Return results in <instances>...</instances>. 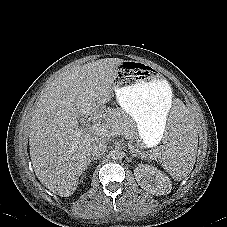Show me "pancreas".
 I'll list each match as a JSON object with an SVG mask.
<instances>
[{
  "label": "pancreas",
  "instance_id": "pancreas-1",
  "mask_svg": "<svg viewBox=\"0 0 227 227\" xmlns=\"http://www.w3.org/2000/svg\"><path fill=\"white\" fill-rule=\"evenodd\" d=\"M103 125L109 129L123 135L127 139L133 140L136 133V126L133 120L120 109H112L105 116Z\"/></svg>",
  "mask_w": 227,
  "mask_h": 227
}]
</instances>
